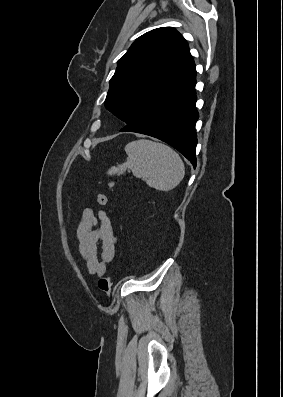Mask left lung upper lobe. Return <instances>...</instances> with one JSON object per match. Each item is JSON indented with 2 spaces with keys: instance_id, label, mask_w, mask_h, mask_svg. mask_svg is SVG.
I'll return each instance as SVG.
<instances>
[{
  "instance_id": "obj_1",
  "label": "left lung upper lobe",
  "mask_w": 283,
  "mask_h": 397,
  "mask_svg": "<svg viewBox=\"0 0 283 397\" xmlns=\"http://www.w3.org/2000/svg\"><path fill=\"white\" fill-rule=\"evenodd\" d=\"M196 76L186 40L172 27L151 30L118 60L105 107L127 125Z\"/></svg>"
}]
</instances>
